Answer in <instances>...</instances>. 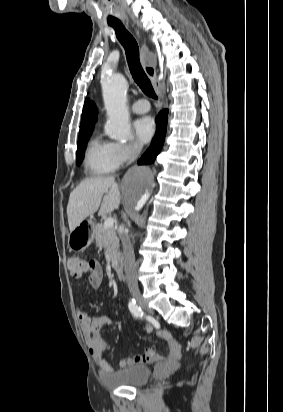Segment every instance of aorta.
Instances as JSON below:
<instances>
[{
  "label": "aorta",
  "instance_id": "1",
  "mask_svg": "<svg viewBox=\"0 0 283 412\" xmlns=\"http://www.w3.org/2000/svg\"><path fill=\"white\" fill-rule=\"evenodd\" d=\"M104 105L108 115L106 133L120 141L130 136L129 113L126 106L127 81L121 74L107 77L102 85ZM151 179L145 169L128 174L123 182V192L127 199L136 202L140 210L149 197Z\"/></svg>",
  "mask_w": 283,
  "mask_h": 412
}]
</instances>
